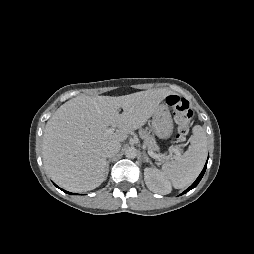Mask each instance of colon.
<instances>
[{
    "instance_id": "colon-1",
    "label": "colon",
    "mask_w": 254,
    "mask_h": 254,
    "mask_svg": "<svg viewBox=\"0 0 254 254\" xmlns=\"http://www.w3.org/2000/svg\"><path fill=\"white\" fill-rule=\"evenodd\" d=\"M167 104L175 115L177 139L183 141L189 132L193 111L186 99L176 95L168 96Z\"/></svg>"
}]
</instances>
